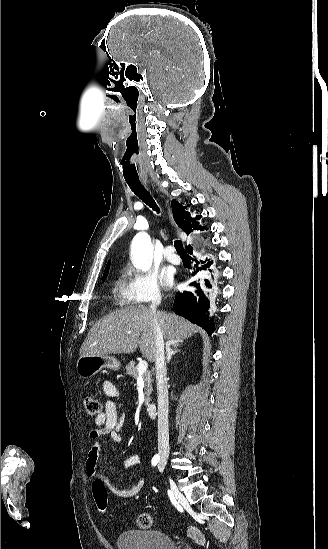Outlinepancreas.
I'll return each instance as SVG.
<instances>
[{
	"label": "pancreas",
	"instance_id": "pancreas-1",
	"mask_svg": "<svg viewBox=\"0 0 328 549\" xmlns=\"http://www.w3.org/2000/svg\"><path fill=\"white\" fill-rule=\"evenodd\" d=\"M126 369V373H128V375H131V377H134V379H137L138 377V367L135 363V361H130V363H128V365H126L125 367ZM143 381H144V385L146 387L145 389V405H150V401H151V393L153 391L152 389V375L150 373V371H145V373H143Z\"/></svg>",
	"mask_w": 328,
	"mask_h": 549
}]
</instances>
